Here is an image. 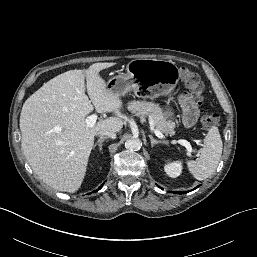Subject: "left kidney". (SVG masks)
I'll return each instance as SVG.
<instances>
[{"instance_id":"left-kidney-1","label":"left kidney","mask_w":257,"mask_h":257,"mask_svg":"<svg viewBox=\"0 0 257 257\" xmlns=\"http://www.w3.org/2000/svg\"><path fill=\"white\" fill-rule=\"evenodd\" d=\"M166 174L172 178H176L182 171V165L179 162L168 163L164 166Z\"/></svg>"}]
</instances>
